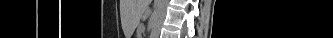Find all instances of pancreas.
<instances>
[{
	"label": "pancreas",
	"instance_id": "obj_1",
	"mask_svg": "<svg viewBox=\"0 0 333 38\" xmlns=\"http://www.w3.org/2000/svg\"><path fill=\"white\" fill-rule=\"evenodd\" d=\"M139 31H140V33H142V31H143V27L142 26L139 27Z\"/></svg>",
	"mask_w": 333,
	"mask_h": 38
}]
</instances>
